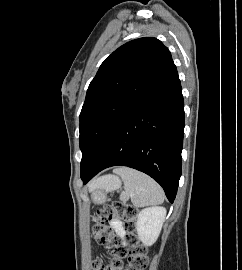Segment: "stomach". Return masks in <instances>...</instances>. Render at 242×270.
I'll return each instance as SVG.
<instances>
[{
	"instance_id": "obj_1",
	"label": "stomach",
	"mask_w": 242,
	"mask_h": 270,
	"mask_svg": "<svg viewBox=\"0 0 242 270\" xmlns=\"http://www.w3.org/2000/svg\"><path fill=\"white\" fill-rule=\"evenodd\" d=\"M120 186V181L112 177L109 182L101 184V185H96L93 187V201L95 203H103L105 201V196L109 190L118 188Z\"/></svg>"
}]
</instances>
